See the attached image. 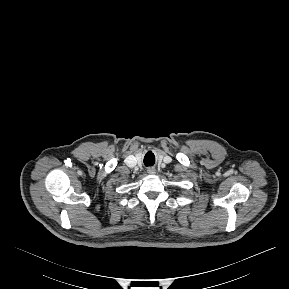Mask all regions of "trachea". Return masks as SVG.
Masks as SVG:
<instances>
[{"mask_svg": "<svg viewBox=\"0 0 289 289\" xmlns=\"http://www.w3.org/2000/svg\"><path fill=\"white\" fill-rule=\"evenodd\" d=\"M155 162V157L151 152H148L144 158V164L146 166H152Z\"/></svg>", "mask_w": 289, "mask_h": 289, "instance_id": "3493384b", "label": "trachea"}]
</instances>
